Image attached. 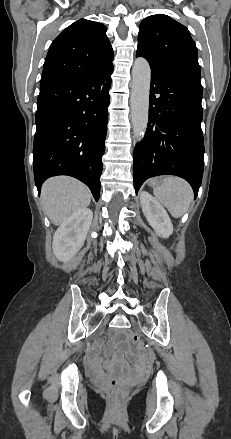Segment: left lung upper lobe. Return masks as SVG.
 <instances>
[{
  "mask_svg": "<svg viewBox=\"0 0 231 439\" xmlns=\"http://www.w3.org/2000/svg\"><path fill=\"white\" fill-rule=\"evenodd\" d=\"M137 56L152 69L200 77L197 48L188 29L164 14L144 19L139 26Z\"/></svg>",
  "mask_w": 231,
  "mask_h": 439,
  "instance_id": "obj_1",
  "label": "left lung upper lobe"
}]
</instances>
